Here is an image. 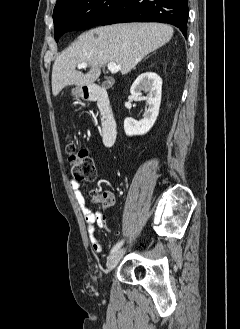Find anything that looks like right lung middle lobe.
Here are the masks:
<instances>
[{"label": "right lung middle lobe", "mask_w": 240, "mask_h": 329, "mask_svg": "<svg viewBox=\"0 0 240 329\" xmlns=\"http://www.w3.org/2000/svg\"><path fill=\"white\" fill-rule=\"evenodd\" d=\"M126 0H69L54 9V38L66 31L82 30L101 24Z\"/></svg>", "instance_id": "right-lung-middle-lobe-1"}]
</instances>
